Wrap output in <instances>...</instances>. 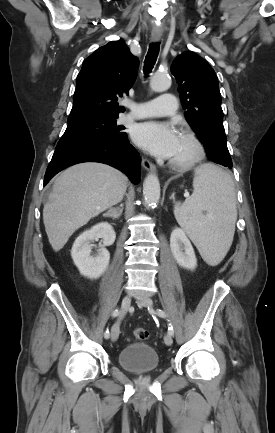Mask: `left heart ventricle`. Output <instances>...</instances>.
<instances>
[{"instance_id": "b2bd125f", "label": "left heart ventricle", "mask_w": 275, "mask_h": 433, "mask_svg": "<svg viewBox=\"0 0 275 433\" xmlns=\"http://www.w3.org/2000/svg\"><path fill=\"white\" fill-rule=\"evenodd\" d=\"M194 154V146L192 142L183 135H179L176 149L172 157L173 161L184 162L190 159Z\"/></svg>"}]
</instances>
